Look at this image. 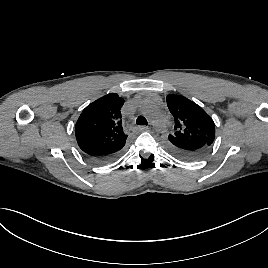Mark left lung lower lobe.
<instances>
[{"label": "left lung lower lobe", "mask_w": 268, "mask_h": 268, "mask_svg": "<svg viewBox=\"0 0 268 268\" xmlns=\"http://www.w3.org/2000/svg\"><path fill=\"white\" fill-rule=\"evenodd\" d=\"M166 149L174 157L183 161H197L207 155L211 146L198 140L166 139Z\"/></svg>", "instance_id": "left-lung-lower-lobe-1"}]
</instances>
